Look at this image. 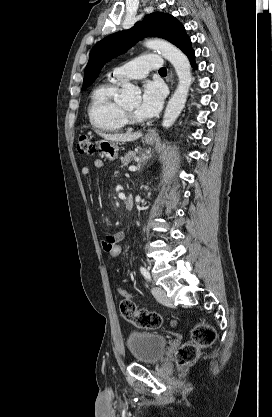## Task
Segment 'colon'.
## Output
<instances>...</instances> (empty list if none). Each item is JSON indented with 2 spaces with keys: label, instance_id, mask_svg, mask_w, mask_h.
Wrapping results in <instances>:
<instances>
[{
  "label": "colon",
  "instance_id": "colon-1",
  "mask_svg": "<svg viewBox=\"0 0 272 417\" xmlns=\"http://www.w3.org/2000/svg\"><path fill=\"white\" fill-rule=\"evenodd\" d=\"M77 150L81 155H93L96 148L87 136H81L77 143ZM122 240L111 241L106 252L112 258H118L122 253ZM122 296L119 305L122 317L138 328L157 329L161 326V317L147 309H138L135 300L122 288L117 289ZM216 338L215 329L207 323H201L194 328L191 341L185 343L177 352V361L180 366L192 363L198 356L199 350L210 346Z\"/></svg>",
  "mask_w": 272,
  "mask_h": 417
}]
</instances>
